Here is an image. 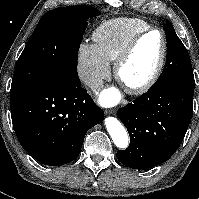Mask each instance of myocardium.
I'll list each match as a JSON object with an SVG mask.
<instances>
[{"mask_svg":"<svg viewBox=\"0 0 199 199\" xmlns=\"http://www.w3.org/2000/svg\"><path fill=\"white\" fill-rule=\"evenodd\" d=\"M159 33L161 36V43H162V48H161V54L159 57V60L152 72V74L149 76L147 80L142 82L141 84H138L136 86H126L122 83L121 81V69L123 65L126 63V61L129 59L131 54L133 53L134 49L138 45V43L146 36H148L151 33ZM167 51H168V42L165 33L157 27H150L137 35H135L129 42L128 44L124 47V49L121 51L119 56L114 62V76L116 80L123 86L126 92L132 95H141L149 91L158 81L165 62H166V57H167Z\"/></svg>","mask_w":199,"mask_h":199,"instance_id":"f54148a6","label":"myocardium"}]
</instances>
